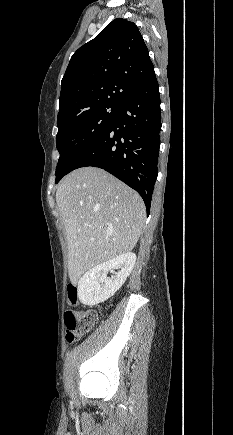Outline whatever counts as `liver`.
I'll use <instances>...</instances> for the list:
<instances>
[{
    "instance_id": "obj_1",
    "label": "liver",
    "mask_w": 233,
    "mask_h": 435,
    "mask_svg": "<svg viewBox=\"0 0 233 435\" xmlns=\"http://www.w3.org/2000/svg\"><path fill=\"white\" fill-rule=\"evenodd\" d=\"M56 202L66 231L72 283L87 270L131 251L145 223L140 195L96 167L68 174L57 188Z\"/></svg>"
}]
</instances>
